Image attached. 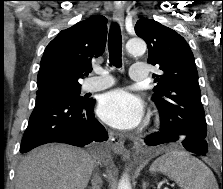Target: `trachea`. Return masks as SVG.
<instances>
[{
	"instance_id": "trachea-1",
	"label": "trachea",
	"mask_w": 223,
	"mask_h": 189,
	"mask_svg": "<svg viewBox=\"0 0 223 189\" xmlns=\"http://www.w3.org/2000/svg\"><path fill=\"white\" fill-rule=\"evenodd\" d=\"M108 50L110 64L116 67L122 65V36L120 27L113 24L109 31Z\"/></svg>"
}]
</instances>
